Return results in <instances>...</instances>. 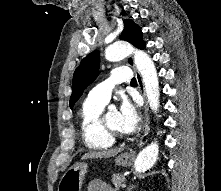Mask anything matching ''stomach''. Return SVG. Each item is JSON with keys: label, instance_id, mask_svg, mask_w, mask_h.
<instances>
[{"label": "stomach", "instance_id": "stomach-1", "mask_svg": "<svg viewBox=\"0 0 221 191\" xmlns=\"http://www.w3.org/2000/svg\"><path fill=\"white\" fill-rule=\"evenodd\" d=\"M132 156L123 153L115 158L118 166H129L132 163ZM88 164L79 162L71 166L62 176L58 184V191H81L85 174L87 173Z\"/></svg>", "mask_w": 221, "mask_h": 191}]
</instances>
